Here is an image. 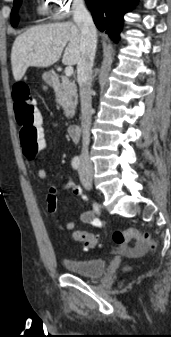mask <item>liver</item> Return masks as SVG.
<instances>
[{
	"mask_svg": "<svg viewBox=\"0 0 171 337\" xmlns=\"http://www.w3.org/2000/svg\"><path fill=\"white\" fill-rule=\"evenodd\" d=\"M81 32L71 22L54 23L32 27L20 34L11 51L13 77L19 81L28 67H49L56 63L65 48L62 63L75 65L81 51Z\"/></svg>",
	"mask_w": 171,
	"mask_h": 337,
	"instance_id": "1",
	"label": "liver"
}]
</instances>
